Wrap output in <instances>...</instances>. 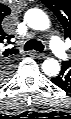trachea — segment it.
Wrapping results in <instances>:
<instances>
[{
  "label": "trachea",
  "instance_id": "trachea-1",
  "mask_svg": "<svg viewBox=\"0 0 71 119\" xmlns=\"http://www.w3.org/2000/svg\"><path fill=\"white\" fill-rule=\"evenodd\" d=\"M24 49L26 51L35 49L36 51L42 52L44 49V46L40 41H36L34 39H31L25 44Z\"/></svg>",
  "mask_w": 71,
  "mask_h": 119
}]
</instances>
